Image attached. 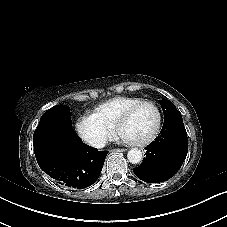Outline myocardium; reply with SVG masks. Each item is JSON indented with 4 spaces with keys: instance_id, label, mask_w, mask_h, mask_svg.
I'll list each match as a JSON object with an SVG mask.
<instances>
[{
    "instance_id": "f54148a6",
    "label": "myocardium",
    "mask_w": 227,
    "mask_h": 227,
    "mask_svg": "<svg viewBox=\"0 0 227 227\" xmlns=\"http://www.w3.org/2000/svg\"><path fill=\"white\" fill-rule=\"evenodd\" d=\"M143 106L151 107L155 114V123H154V127H153L152 131L147 136L141 138L142 142L147 143V142L152 141L157 136L159 129H160V124H161V115H160L159 108L152 101L143 100L141 102H138L136 105H134L121 119V121L117 127V130L118 131L126 130L134 113Z\"/></svg>"
}]
</instances>
